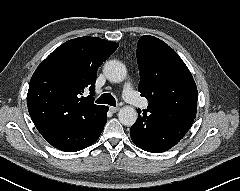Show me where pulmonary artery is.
<instances>
[{"label": "pulmonary artery", "mask_w": 240, "mask_h": 191, "mask_svg": "<svg viewBox=\"0 0 240 191\" xmlns=\"http://www.w3.org/2000/svg\"><path fill=\"white\" fill-rule=\"evenodd\" d=\"M123 97L133 106H138L139 104H141L142 101L141 98L134 91L130 83L124 85Z\"/></svg>", "instance_id": "e3ab8cb5"}]
</instances>
